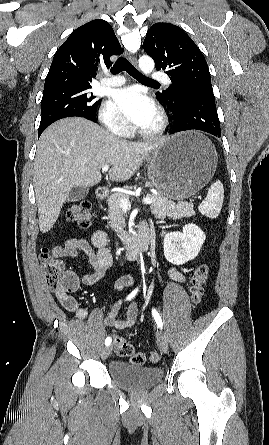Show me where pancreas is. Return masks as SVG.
I'll return each instance as SVG.
<instances>
[{
  "mask_svg": "<svg viewBox=\"0 0 269 445\" xmlns=\"http://www.w3.org/2000/svg\"><path fill=\"white\" fill-rule=\"evenodd\" d=\"M125 190H131L132 187L125 186ZM122 197L128 198L129 195L127 193L118 191L111 194L108 198V218L110 226L115 230L117 234H119V228L125 227V219L122 207L120 205V199ZM147 197L153 198L154 202L150 205L152 213L155 218L163 219L168 217L170 219H179L183 217H191L195 215V211L193 209V203L188 202H179L175 204L173 201H169L166 197L161 194L154 195L148 194ZM121 238V241L127 242L129 240L126 231H124L121 235H118Z\"/></svg>",
  "mask_w": 269,
  "mask_h": 445,
  "instance_id": "obj_1",
  "label": "pancreas"
}]
</instances>
